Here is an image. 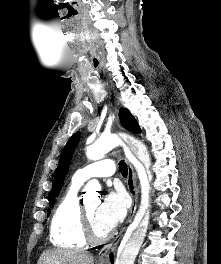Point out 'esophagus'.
Returning <instances> with one entry per match:
<instances>
[{"mask_svg":"<svg viewBox=\"0 0 221 264\" xmlns=\"http://www.w3.org/2000/svg\"><path fill=\"white\" fill-rule=\"evenodd\" d=\"M117 125L121 129L118 119H117ZM127 168H128V174H127L126 185H127L128 192L132 198V204L129 210V216H128L126 223H130L135 215V212L138 206V189L136 185V175H135L133 166L131 165L130 162H128ZM123 232H124V228L120 231V233L114 238L112 242L103 246L99 250L97 254L98 262H100L101 264H107L109 262V255L116 249L122 237Z\"/></svg>","mask_w":221,"mask_h":264,"instance_id":"34e87169","label":"esophagus"}]
</instances>
